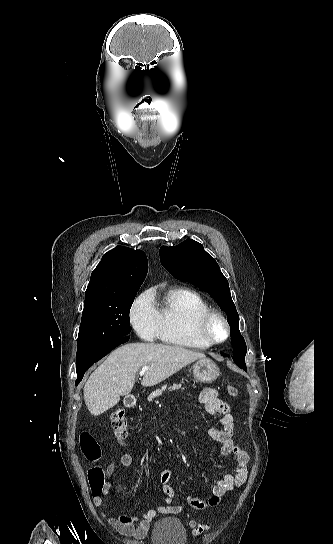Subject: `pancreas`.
<instances>
[{
    "mask_svg": "<svg viewBox=\"0 0 333 544\" xmlns=\"http://www.w3.org/2000/svg\"><path fill=\"white\" fill-rule=\"evenodd\" d=\"M180 388H181V384H173V386L169 387L168 389H169L170 391H174V390H178V389H180ZM166 389H167V386L164 385V386H162L160 389L155 390L154 392H152V393L150 394V396L148 397V400H149V401H152L153 399H156L157 397L161 396L162 393H163ZM182 389H184V388H182Z\"/></svg>",
    "mask_w": 333,
    "mask_h": 544,
    "instance_id": "cf45deb5",
    "label": "pancreas"
}]
</instances>
